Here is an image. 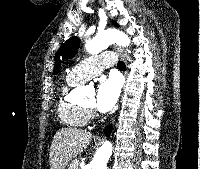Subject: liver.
<instances>
[{
    "instance_id": "6515ba94",
    "label": "liver",
    "mask_w": 200,
    "mask_h": 169,
    "mask_svg": "<svg viewBox=\"0 0 200 169\" xmlns=\"http://www.w3.org/2000/svg\"><path fill=\"white\" fill-rule=\"evenodd\" d=\"M92 134L76 128H62L51 142L49 161L51 169H65L68 163L87 148Z\"/></svg>"
}]
</instances>
